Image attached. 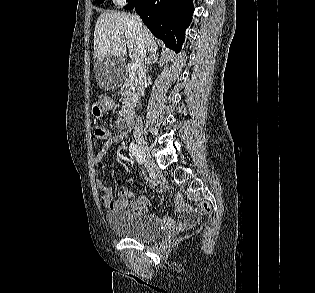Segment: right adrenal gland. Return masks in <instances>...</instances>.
Wrapping results in <instances>:
<instances>
[{"mask_svg": "<svg viewBox=\"0 0 315 293\" xmlns=\"http://www.w3.org/2000/svg\"><path fill=\"white\" fill-rule=\"evenodd\" d=\"M159 55L156 53L149 54L148 58H146V70L148 71L149 65L157 63Z\"/></svg>", "mask_w": 315, "mask_h": 293, "instance_id": "right-adrenal-gland-1", "label": "right adrenal gland"}]
</instances>
